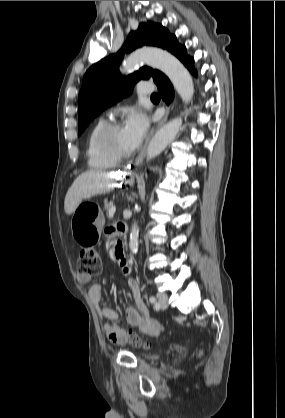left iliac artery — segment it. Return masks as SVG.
I'll return each mask as SVG.
<instances>
[{
    "instance_id": "44dca946",
    "label": "left iliac artery",
    "mask_w": 285,
    "mask_h": 418,
    "mask_svg": "<svg viewBox=\"0 0 285 418\" xmlns=\"http://www.w3.org/2000/svg\"><path fill=\"white\" fill-rule=\"evenodd\" d=\"M149 302L150 303H155L156 302V298L154 296H150L149 297Z\"/></svg>"
}]
</instances>
